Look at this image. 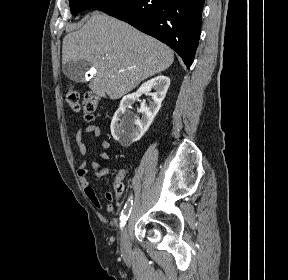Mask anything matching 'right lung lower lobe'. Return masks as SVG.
Here are the masks:
<instances>
[{
    "mask_svg": "<svg viewBox=\"0 0 288 280\" xmlns=\"http://www.w3.org/2000/svg\"><path fill=\"white\" fill-rule=\"evenodd\" d=\"M205 0H116L96 7L175 50L190 68L198 46Z\"/></svg>",
    "mask_w": 288,
    "mask_h": 280,
    "instance_id": "98d812e1",
    "label": "right lung lower lobe"
}]
</instances>
